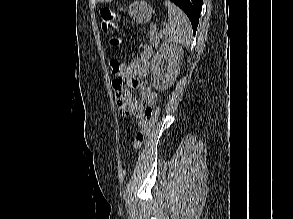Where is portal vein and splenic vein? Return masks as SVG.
<instances>
[{
  "instance_id": "portal-vein-and-splenic-vein-1",
  "label": "portal vein and splenic vein",
  "mask_w": 293,
  "mask_h": 219,
  "mask_svg": "<svg viewBox=\"0 0 293 219\" xmlns=\"http://www.w3.org/2000/svg\"><path fill=\"white\" fill-rule=\"evenodd\" d=\"M152 30H156L157 28H156V25H152L151 27H150Z\"/></svg>"
}]
</instances>
